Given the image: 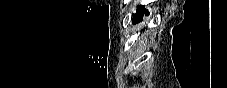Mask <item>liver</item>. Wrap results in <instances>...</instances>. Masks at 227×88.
Returning <instances> with one entry per match:
<instances>
[{"mask_svg":"<svg viewBox=\"0 0 227 88\" xmlns=\"http://www.w3.org/2000/svg\"><path fill=\"white\" fill-rule=\"evenodd\" d=\"M145 25V22H142L139 26H138V28H141L142 26H144Z\"/></svg>","mask_w":227,"mask_h":88,"instance_id":"1","label":"liver"}]
</instances>
